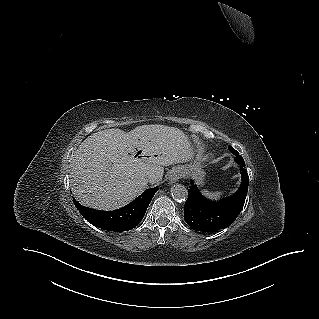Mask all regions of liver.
Listing matches in <instances>:
<instances>
[{"label": "liver", "mask_w": 319, "mask_h": 319, "mask_svg": "<svg viewBox=\"0 0 319 319\" xmlns=\"http://www.w3.org/2000/svg\"><path fill=\"white\" fill-rule=\"evenodd\" d=\"M138 150L141 157H134ZM192 156L188 137L175 127L102 130L88 136L72 159V191L85 206L114 210L143 192L148 175L153 177L150 183L160 182L164 166L188 162Z\"/></svg>", "instance_id": "obj_1"}]
</instances>
